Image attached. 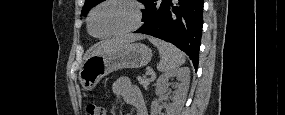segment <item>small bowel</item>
I'll use <instances>...</instances> for the list:
<instances>
[{
    "instance_id": "small-bowel-1",
    "label": "small bowel",
    "mask_w": 285,
    "mask_h": 115,
    "mask_svg": "<svg viewBox=\"0 0 285 115\" xmlns=\"http://www.w3.org/2000/svg\"><path fill=\"white\" fill-rule=\"evenodd\" d=\"M112 91L116 97L122 98L134 108L135 115H147V107L141 91L128 78L115 79L112 84Z\"/></svg>"
}]
</instances>
